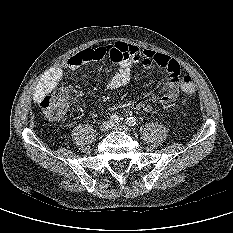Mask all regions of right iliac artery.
Instances as JSON below:
<instances>
[{
    "mask_svg": "<svg viewBox=\"0 0 233 233\" xmlns=\"http://www.w3.org/2000/svg\"><path fill=\"white\" fill-rule=\"evenodd\" d=\"M110 120H111L112 122L119 123V122L123 121V118H121L120 116L114 114V115H112V116L110 117Z\"/></svg>",
    "mask_w": 233,
    "mask_h": 233,
    "instance_id": "1",
    "label": "right iliac artery"
}]
</instances>
